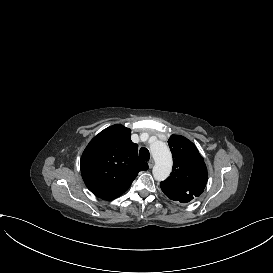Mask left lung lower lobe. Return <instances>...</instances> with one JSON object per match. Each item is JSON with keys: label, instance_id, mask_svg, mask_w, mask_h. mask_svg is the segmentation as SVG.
<instances>
[{"label": "left lung lower lobe", "instance_id": "0a47b994", "mask_svg": "<svg viewBox=\"0 0 273 273\" xmlns=\"http://www.w3.org/2000/svg\"><path fill=\"white\" fill-rule=\"evenodd\" d=\"M193 198H194V197H189V198H187V199H185V200H182V201H180V202L186 203V202L191 201Z\"/></svg>", "mask_w": 273, "mask_h": 273}]
</instances>
